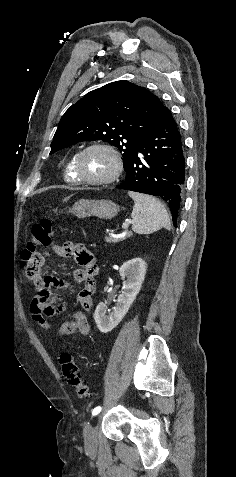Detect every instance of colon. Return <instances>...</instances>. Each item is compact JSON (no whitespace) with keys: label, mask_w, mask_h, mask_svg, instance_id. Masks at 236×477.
I'll list each match as a JSON object with an SVG mask.
<instances>
[{"label":"colon","mask_w":236,"mask_h":477,"mask_svg":"<svg viewBox=\"0 0 236 477\" xmlns=\"http://www.w3.org/2000/svg\"><path fill=\"white\" fill-rule=\"evenodd\" d=\"M53 237L52 222L44 218L34 224L31 230V238L22 253L28 278L39 289L38 282L42 277V264L44 251L42 248L51 244ZM62 373L67 382L76 390L82 399L91 398L92 394L86 379L82 376L80 368L74 356L69 352H63L59 358Z\"/></svg>","instance_id":"colon-1"}]
</instances>
